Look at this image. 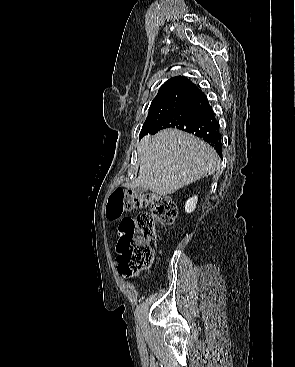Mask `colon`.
I'll return each instance as SVG.
<instances>
[{"label": "colon", "instance_id": "colon-1", "mask_svg": "<svg viewBox=\"0 0 295 367\" xmlns=\"http://www.w3.org/2000/svg\"><path fill=\"white\" fill-rule=\"evenodd\" d=\"M150 206V212H141L135 218L122 219L116 245L118 271L131 275L148 268L153 261L152 243L156 237V224H172L177 217L175 201L157 194H134L115 189L109 199L107 217L120 218L124 212Z\"/></svg>", "mask_w": 295, "mask_h": 367}]
</instances>
